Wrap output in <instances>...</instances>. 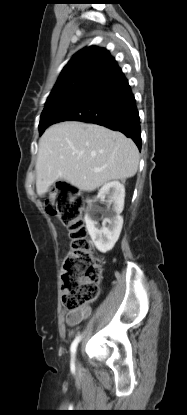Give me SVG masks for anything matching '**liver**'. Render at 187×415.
<instances>
[{"label":"liver","instance_id":"liver-1","mask_svg":"<svg viewBox=\"0 0 187 415\" xmlns=\"http://www.w3.org/2000/svg\"><path fill=\"white\" fill-rule=\"evenodd\" d=\"M138 164L135 143L122 133L96 124L61 122L39 140L36 191L44 196L58 179L94 191L111 180L133 177Z\"/></svg>","mask_w":187,"mask_h":415}]
</instances>
